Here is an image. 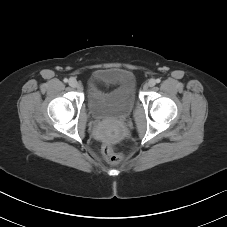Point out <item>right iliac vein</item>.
I'll return each mask as SVG.
<instances>
[{
    "instance_id": "1",
    "label": "right iliac vein",
    "mask_w": 227,
    "mask_h": 227,
    "mask_svg": "<svg viewBox=\"0 0 227 227\" xmlns=\"http://www.w3.org/2000/svg\"><path fill=\"white\" fill-rule=\"evenodd\" d=\"M69 85L72 87V88H76L78 87V82L75 78H70L69 79Z\"/></svg>"
}]
</instances>
